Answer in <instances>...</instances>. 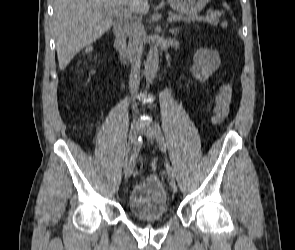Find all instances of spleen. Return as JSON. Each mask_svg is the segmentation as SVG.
Segmentation results:
<instances>
[{
	"label": "spleen",
	"mask_w": 295,
	"mask_h": 250,
	"mask_svg": "<svg viewBox=\"0 0 295 250\" xmlns=\"http://www.w3.org/2000/svg\"><path fill=\"white\" fill-rule=\"evenodd\" d=\"M224 6L227 7V9H229V7H228V5L226 3L224 4Z\"/></svg>",
	"instance_id": "obj_1"
}]
</instances>
